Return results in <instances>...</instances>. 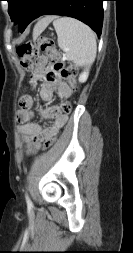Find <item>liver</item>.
I'll use <instances>...</instances> for the list:
<instances>
[{
	"mask_svg": "<svg viewBox=\"0 0 133 253\" xmlns=\"http://www.w3.org/2000/svg\"><path fill=\"white\" fill-rule=\"evenodd\" d=\"M55 17L52 15L40 19L34 27L33 36H39Z\"/></svg>",
	"mask_w": 133,
	"mask_h": 253,
	"instance_id": "obj_1",
	"label": "liver"
}]
</instances>
